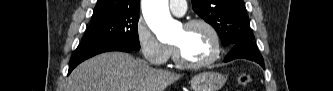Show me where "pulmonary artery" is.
Segmentation results:
<instances>
[{
    "label": "pulmonary artery",
    "instance_id": "pulmonary-artery-1",
    "mask_svg": "<svg viewBox=\"0 0 333 91\" xmlns=\"http://www.w3.org/2000/svg\"><path fill=\"white\" fill-rule=\"evenodd\" d=\"M170 11L176 16H183L186 12V2L185 1H170L169 2Z\"/></svg>",
    "mask_w": 333,
    "mask_h": 91
}]
</instances>
